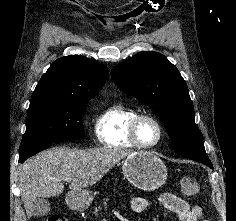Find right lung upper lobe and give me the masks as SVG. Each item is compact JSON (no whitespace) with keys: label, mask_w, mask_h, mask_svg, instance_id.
<instances>
[{"label":"right lung upper lobe","mask_w":236,"mask_h":221,"mask_svg":"<svg viewBox=\"0 0 236 221\" xmlns=\"http://www.w3.org/2000/svg\"><path fill=\"white\" fill-rule=\"evenodd\" d=\"M108 77V69L95 60L69 55L55 60L41 77L31 99L90 100Z\"/></svg>","instance_id":"obj_1"}]
</instances>
